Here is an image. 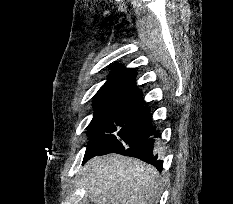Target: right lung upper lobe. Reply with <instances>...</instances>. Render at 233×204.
Returning <instances> with one entry per match:
<instances>
[{"label": "right lung upper lobe", "instance_id": "1", "mask_svg": "<svg viewBox=\"0 0 233 204\" xmlns=\"http://www.w3.org/2000/svg\"><path fill=\"white\" fill-rule=\"evenodd\" d=\"M108 77L94 96L95 114L115 105L143 102L142 94L137 91L136 73L132 69L115 67Z\"/></svg>", "mask_w": 233, "mask_h": 204}]
</instances>
